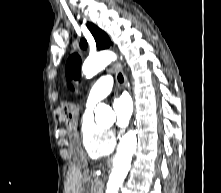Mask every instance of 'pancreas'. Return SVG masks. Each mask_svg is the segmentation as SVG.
I'll list each match as a JSON object with an SVG mask.
<instances>
[{
	"instance_id": "1",
	"label": "pancreas",
	"mask_w": 221,
	"mask_h": 193,
	"mask_svg": "<svg viewBox=\"0 0 221 193\" xmlns=\"http://www.w3.org/2000/svg\"><path fill=\"white\" fill-rule=\"evenodd\" d=\"M94 193H102L101 192V182L99 179L94 180Z\"/></svg>"
}]
</instances>
